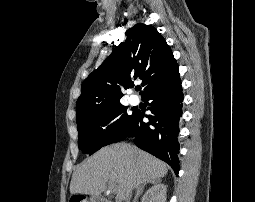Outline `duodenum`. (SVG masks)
Returning a JSON list of instances; mask_svg holds the SVG:
<instances>
[{
  "label": "duodenum",
  "instance_id": "410a0bca",
  "mask_svg": "<svg viewBox=\"0 0 255 202\" xmlns=\"http://www.w3.org/2000/svg\"><path fill=\"white\" fill-rule=\"evenodd\" d=\"M90 202H107V200L100 195H92L90 197Z\"/></svg>",
  "mask_w": 255,
  "mask_h": 202
}]
</instances>
